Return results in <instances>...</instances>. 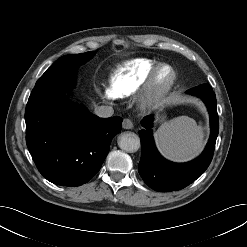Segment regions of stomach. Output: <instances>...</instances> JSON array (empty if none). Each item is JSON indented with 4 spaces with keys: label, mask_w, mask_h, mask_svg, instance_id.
<instances>
[{
    "label": "stomach",
    "mask_w": 247,
    "mask_h": 247,
    "mask_svg": "<svg viewBox=\"0 0 247 247\" xmlns=\"http://www.w3.org/2000/svg\"><path fill=\"white\" fill-rule=\"evenodd\" d=\"M166 119V115L165 113L163 112V108H159L158 112H157V116H156V121L158 123H162L164 122Z\"/></svg>",
    "instance_id": "0dacf381"
}]
</instances>
